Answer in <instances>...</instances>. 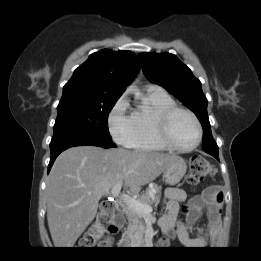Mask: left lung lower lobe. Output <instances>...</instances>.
I'll list each match as a JSON object with an SVG mask.
<instances>
[{
	"label": "left lung lower lobe",
	"mask_w": 261,
	"mask_h": 261,
	"mask_svg": "<svg viewBox=\"0 0 261 261\" xmlns=\"http://www.w3.org/2000/svg\"><path fill=\"white\" fill-rule=\"evenodd\" d=\"M206 153L214 156L218 161H219V156H218V151H210V150H206V149H203Z\"/></svg>",
	"instance_id": "1"
}]
</instances>
